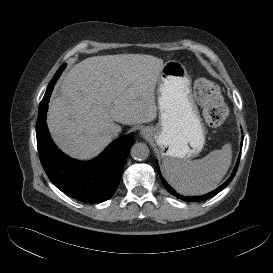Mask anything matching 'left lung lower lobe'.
<instances>
[{
  "label": "left lung lower lobe",
  "instance_id": "0a47b994",
  "mask_svg": "<svg viewBox=\"0 0 273 273\" xmlns=\"http://www.w3.org/2000/svg\"><path fill=\"white\" fill-rule=\"evenodd\" d=\"M238 165H239V159L236 163V166L234 168V171L232 173V175L230 176V178L223 184L221 185L219 188L215 189L214 191L208 193V194H205V195H202V196H198V197H184L182 195H179L178 193H176L171 187H169V185L166 183V181L161 177V181L164 185V187L168 190L169 193H171L172 195L184 200V201H188V202H192V201H203V200H206L208 198H211L213 197L214 195H216L217 193H219L221 190H223L228 184L229 182L233 179V177L235 176V173L237 171V168H238ZM157 170H158V174L160 175V171H159V167H157Z\"/></svg>",
  "mask_w": 273,
  "mask_h": 273
}]
</instances>
